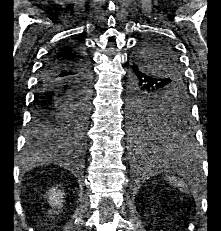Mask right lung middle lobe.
<instances>
[{"label":"right lung middle lobe","mask_w":221,"mask_h":231,"mask_svg":"<svg viewBox=\"0 0 221 231\" xmlns=\"http://www.w3.org/2000/svg\"><path fill=\"white\" fill-rule=\"evenodd\" d=\"M89 112V102L83 96H74L63 108L61 124L65 133L76 144L83 145Z\"/></svg>","instance_id":"right-lung-middle-lobe-1"}]
</instances>
